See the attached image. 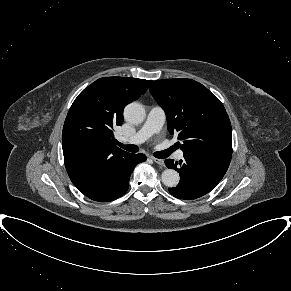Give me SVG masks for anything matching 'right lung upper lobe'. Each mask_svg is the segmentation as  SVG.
<instances>
[{"label":"right lung upper lobe","mask_w":291,"mask_h":291,"mask_svg":"<svg viewBox=\"0 0 291 291\" xmlns=\"http://www.w3.org/2000/svg\"><path fill=\"white\" fill-rule=\"evenodd\" d=\"M150 80L104 77L85 88L67 114L62 147L72 183L85 195L129 153L117 148L113 128L123 122L124 107L145 93Z\"/></svg>","instance_id":"right-lung-upper-lobe-1"}]
</instances>
